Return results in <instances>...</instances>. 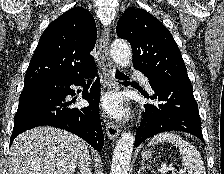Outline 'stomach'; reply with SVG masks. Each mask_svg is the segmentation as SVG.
I'll list each match as a JSON object with an SVG mask.
<instances>
[{"mask_svg":"<svg viewBox=\"0 0 224 174\" xmlns=\"http://www.w3.org/2000/svg\"><path fill=\"white\" fill-rule=\"evenodd\" d=\"M151 157V151H143L142 152V158L147 159Z\"/></svg>","mask_w":224,"mask_h":174,"instance_id":"1","label":"stomach"}]
</instances>
